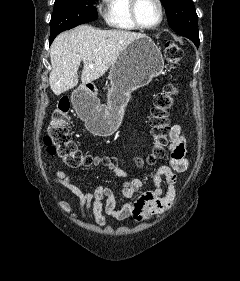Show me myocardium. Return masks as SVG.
I'll use <instances>...</instances> for the list:
<instances>
[{
	"mask_svg": "<svg viewBox=\"0 0 240 281\" xmlns=\"http://www.w3.org/2000/svg\"><path fill=\"white\" fill-rule=\"evenodd\" d=\"M155 2L157 3V5L159 7V15H160L159 20L156 24H154L152 26H146L140 22L139 17H138L137 9H138L139 0H130V7H129L130 16H131L133 23L135 24V26L138 29L154 30L163 23L164 16H165L164 4H163L162 0H155Z\"/></svg>",
	"mask_w": 240,
	"mask_h": 281,
	"instance_id": "1",
	"label": "myocardium"
}]
</instances>
